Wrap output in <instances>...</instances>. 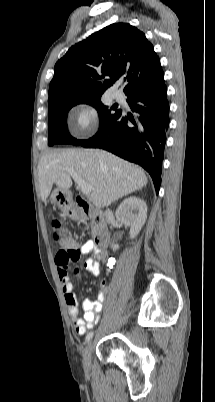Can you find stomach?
Wrapping results in <instances>:
<instances>
[{
	"label": "stomach",
	"mask_w": 215,
	"mask_h": 402,
	"mask_svg": "<svg viewBox=\"0 0 215 402\" xmlns=\"http://www.w3.org/2000/svg\"><path fill=\"white\" fill-rule=\"evenodd\" d=\"M51 200L66 214H69L72 210L71 197L68 190L55 189L51 194Z\"/></svg>",
	"instance_id": "0dacf381"
}]
</instances>
